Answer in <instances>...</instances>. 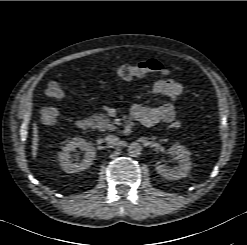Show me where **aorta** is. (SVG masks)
<instances>
[{"mask_svg": "<svg viewBox=\"0 0 247 245\" xmlns=\"http://www.w3.org/2000/svg\"><path fill=\"white\" fill-rule=\"evenodd\" d=\"M142 152V146L140 143L133 142L128 146V154L132 157H137Z\"/></svg>", "mask_w": 247, "mask_h": 245, "instance_id": "aorta-1", "label": "aorta"}]
</instances>
